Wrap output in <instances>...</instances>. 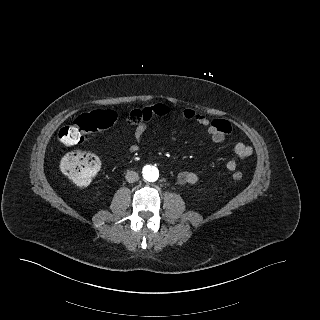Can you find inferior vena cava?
Here are the masks:
<instances>
[{
	"mask_svg": "<svg viewBox=\"0 0 320 320\" xmlns=\"http://www.w3.org/2000/svg\"><path fill=\"white\" fill-rule=\"evenodd\" d=\"M125 178H126L127 182L134 183V182L138 181L139 176H138V173H136L135 171H128L126 173Z\"/></svg>",
	"mask_w": 320,
	"mask_h": 320,
	"instance_id": "1",
	"label": "inferior vena cava"
}]
</instances>
